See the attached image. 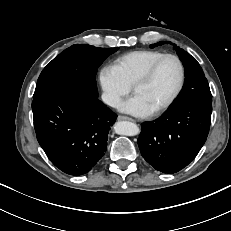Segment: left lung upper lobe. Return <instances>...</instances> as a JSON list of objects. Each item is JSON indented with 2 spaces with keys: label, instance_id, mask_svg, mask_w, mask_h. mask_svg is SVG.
<instances>
[{
  "label": "left lung upper lobe",
  "instance_id": "obj_1",
  "mask_svg": "<svg viewBox=\"0 0 231 231\" xmlns=\"http://www.w3.org/2000/svg\"><path fill=\"white\" fill-rule=\"evenodd\" d=\"M165 43L172 44L171 42L161 41L150 45V47L154 48ZM172 45L184 65L186 78L181 93L171 106L191 102L212 104V95L210 92L209 84L199 63L189 53L175 44Z\"/></svg>",
  "mask_w": 231,
  "mask_h": 231
}]
</instances>
